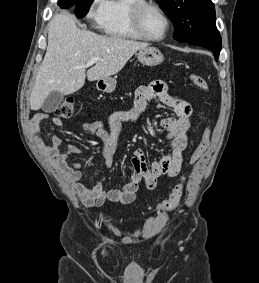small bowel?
Returning <instances> with one entry per match:
<instances>
[{
  "instance_id": "small-bowel-1",
  "label": "small bowel",
  "mask_w": 259,
  "mask_h": 283,
  "mask_svg": "<svg viewBox=\"0 0 259 283\" xmlns=\"http://www.w3.org/2000/svg\"><path fill=\"white\" fill-rule=\"evenodd\" d=\"M154 99L168 106L175 114L173 117L160 120V126L166 131L169 141L167 153L159 161H153L149 167L144 151L140 148L135 149L132 156L134 173L131 180L121 189L106 188L104 179L94 185L84 184L79 164L68 163L66 160L70 154H80L81 149L71 145L62 150V140L59 136H53L48 144L43 142L40 136V123L48 119L49 114H35L29 121V130L43 150L52 158L56 167L64 173L69 186L86 206H101L107 200L128 204L134 201L142 184L148 190H153L160 177L172 178L179 174L182 167V155L188 144L187 131L192 115L191 105L168 93L163 82L154 81L149 85L140 86L136 90L132 109L117 111L111 116L109 128L99 121L83 124L86 133L102 140L101 153L106 165L110 167L115 156L117 141L121 135V123L135 121L145 111L147 104ZM51 121L55 126L61 125V120L56 116L51 117Z\"/></svg>"
}]
</instances>
